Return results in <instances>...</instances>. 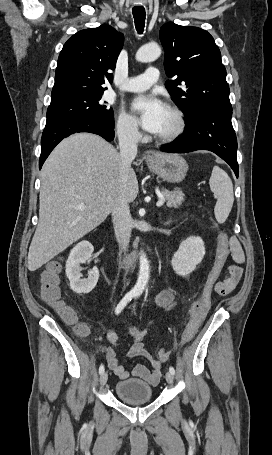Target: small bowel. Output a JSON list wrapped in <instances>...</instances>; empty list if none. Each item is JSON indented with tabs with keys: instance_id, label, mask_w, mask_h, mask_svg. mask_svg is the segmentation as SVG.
Returning a JSON list of instances; mask_svg holds the SVG:
<instances>
[{
	"instance_id": "c3829d8e",
	"label": "small bowel",
	"mask_w": 272,
	"mask_h": 455,
	"mask_svg": "<svg viewBox=\"0 0 272 455\" xmlns=\"http://www.w3.org/2000/svg\"><path fill=\"white\" fill-rule=\"evenodd\" d=\"M229 250L234 264L228 267L227 276L223 280H218L214 286V292L220 296H226L231 293L238 285L243 273L241 266L245 262V254L237 238H230ZM154 302L162 309H171L176 304V296L171 290H163L155 296ZM130 335L132 337V345L128 350V356L144 357L152 365V369H150L143 364H137L132 370V375L156 385L162 376L161 363L153 360L145 349L142 342L143 332L140 329L131 331ZM107 338L112 344V347L105 350L108 367L121 380L127 379L129 372L119 364L115 351V347L118 346V335L115 332H109Z\"/></svg>"
}]
</instances>
